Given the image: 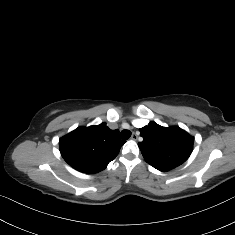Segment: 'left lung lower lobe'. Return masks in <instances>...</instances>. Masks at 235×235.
<instances>
[{
	"mask_svg": "<svg viewBox=\"0 0 235 235\" xmlns=\"http://www.w3.org/2000/svg\"><path fill=\"white\" fill-rule=\"evenodd\" d=\"M158 170L166 172V171H169V170H172V169H170L168 167H160V168H158Z\"/></svg>",
	"mask_w": 235,
	"mask_h": 235,
	"instance_id": "obj_1",
	"label": "left lung lower lobe"
}]
</instances>
